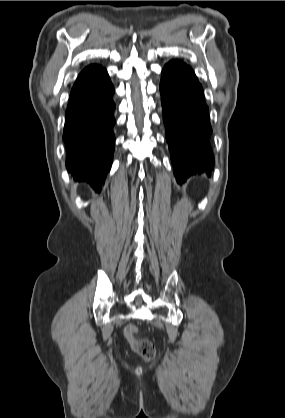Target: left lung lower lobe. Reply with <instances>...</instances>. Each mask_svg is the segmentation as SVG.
<instances>
[{"instance_id":"left-lung-lower-lobe-1","label":"left lung lower lobe","mask_w":285,"mask_h":418,"mask_svg":"<svg viewBox=\"0 0 285 418\" xmlns=\"http://www.w3.org/2000/svg\"><path fill=\"white\" fill-rule=\"evenodd\" d=\"M160 92L174 174L182 184L193 174L213 169L209 110L194 71L180 60L164 66Z\"/></svg>"}]
</instances>
